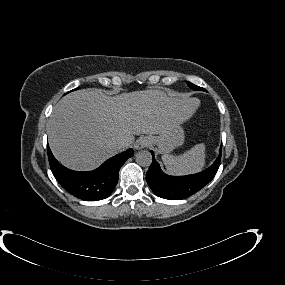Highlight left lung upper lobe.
<instances>
[{"label": "left lung upper lobe", "instance_id": "5c2ea615", "mask_svg": "<svg viewBox=\"0 0 285 285\" xmlns=\"http://www.w3.org/2000/svg\"><path fill=\"white\" fill-rule=\"evenodd\" d=\"M187 84H188V86H189L191 89H193V90H203V91H205V89H203V88H201V87H199V86H196V85H194V84H192V83H190V82H187Z\"/></svg>", "mask_w": 285, "mask_h": 285}]
</instances>
